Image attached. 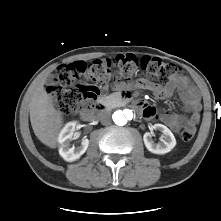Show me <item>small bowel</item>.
Instances as JSON below:
<instances>
[{"mask_svg":"<svg viewBox=\"0 0 221 221\" xmlns=\"http://www.w3.org/2000/svg\"><path fill=\"white\" fill-rule=\"evenodd\" d=\"M138 86L147 87L157 98L160 99L170 98L174 90L178 89L182 99L183 109L189 113V116L174 113L160 114L144 102L140 109L142 110L145 118H160L175 132L187 127H191L193 129L196 128L200 120V97L195 88L190 84L187 77H177L167 86L154 85L144 80L140 81Z\"/></svg>","mask_w":221,"mask_h":221,"instance_id":"c3829d8e","label":"small bowel"}]
</instances>
